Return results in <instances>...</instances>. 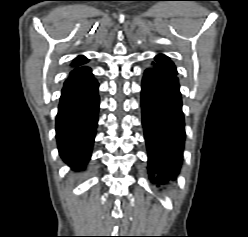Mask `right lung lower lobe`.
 Segmentation results:
<instances>
[{
    "label": "right lung lower lobe",
    "mask_w": 248,
    "mask_h": 237,
    "mask_svg": "<svg viewBox=\"0 0 248 237\" xmlns=\"http://www.w3.org/2000/svg\"><path fill=\"white\" fill-rule=\"evenodd\" d=\"M98 82L87 67L73 70L64 83L56 119V138L63 160L84 169L90 159L98 122Z\"/></svg>",
    "instance_id": "right-lung-lower-lobe-1"
}]
</instances>
